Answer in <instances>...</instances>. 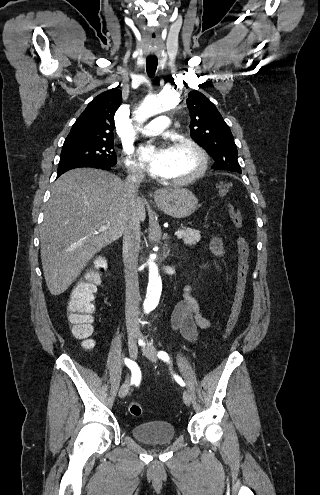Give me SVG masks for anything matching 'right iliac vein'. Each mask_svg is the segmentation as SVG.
<instances>
[{
    "label": "right iliac vein",
    "instance_id": "obj_1",
    "mask_svg": "<svg viewBox=\"0 0 320 495\" xmlns=\"http://www.w3.org/2000/svg\"><path fill=\"white\" fill-rule=\"evenodd\" d=\"M128 352L131 359H136L137 357V345H136V335L133 333H129L128 335ZM130 387V375L128 374L125 383L121 386L119 390V397L124 398Z\"/></svg>",
    "mask_w": 320,
    "mask_h": 495
}]
</instances>
